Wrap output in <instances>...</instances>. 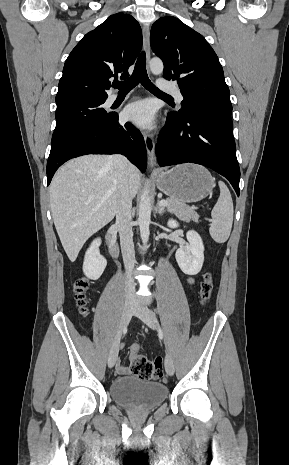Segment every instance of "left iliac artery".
I'll list each match as a JSON object with an SVG mask.
<instances>
[{"instance_id": "obj_1", "label": "left iliac artery", "mask_w": 289, "mask_h": 465, "mask_svg": "<svg viewBox=\"0 0 289 465\" xmlns=\"http://www.w3.org/2000/svg\"><path fill=\"white\" fill-rule=\"evenodd\" d=\"M159 335H160V337L163 336V333H162L161 329H159Z\"/></svg>"}]
</instances>
